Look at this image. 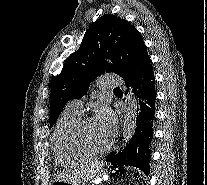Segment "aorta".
<instances>
[{
	"label": "aorta",
	"mask_w": 207,
	"mask_h": 185,
	"mask_svg": "<svg viewBox=\"0 0 207 185\" xmlns=\"http://www.w3.org/2000/svg\"><path fill=\"white\" fill-rule=\"evenodd\" d=\"M126 110L122 126V145L125 147L132 139L137 124V100L130 90L126 96Z\"/></svg>",
	"instance_id": "762f6f07"
}]
</instances>
